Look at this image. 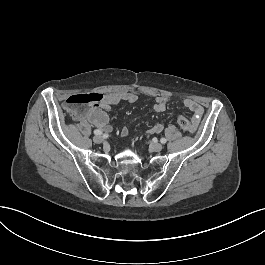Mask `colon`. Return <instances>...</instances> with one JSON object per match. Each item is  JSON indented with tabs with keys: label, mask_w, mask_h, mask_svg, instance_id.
<instances>
[{
	"label": "colon",
	"mask_w": 265,
	"mask_h": 265,
	"mask_svg": "<svg viewBox=\"0 0 265 265\" xmlns=\"http://www.w3.org/2000/svg\"><path fill=\"white\" fill-rule=\"evenodd\" d=\"M98 103V96L94 91H87L82 94H73L63 99V106L66 109L78 110L81 106H95ZM183 132L187 133L193 128L192 122L186 117L178 120Z\"/></svg>",
	"instance_id": "5ec220e1"
}]
</instances>
